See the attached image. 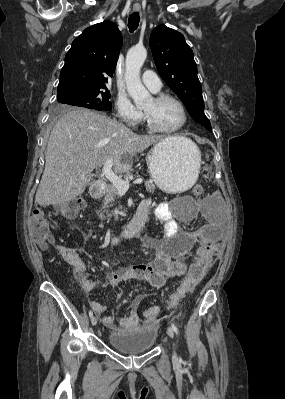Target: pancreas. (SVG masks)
<instances>
[{"mask_svg": "<svg viewBox=\"0 0 285 399\" xmlns=\"http://www.w3.org/2000/svg\"><path fill=\"white\" fill-rule=\"evenodd\" d=\"M145 187L146 190L150 193H153L155 191V185L153 184V180L151 179L145 181ZM118 193L119 192L114 185L107 186L102 204L103 211L100 213L101 219H107V222H109L110 218L112 217V211L109 212V208L114 206V203L118 197Z\"/></svg>", "mask_w": 285, "mask_h": 399, "instance_id": "pancreas-1", "label": "pancreas"}]
</instances>
